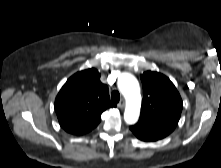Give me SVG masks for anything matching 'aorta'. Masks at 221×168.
I'll return each mask as SVG.
<instances>
[{
  "label": "aorta",
  "mask_w": 221,
  "mask_h": 168,
  "mask_svg": "<svg viewBox=\"0 0 221 168\" xmlns=\"http://www.w3.org/2000/svg\"><path fill=\"white\" fill-rule=\"evenodd\" d=\"M118 88L126 99L124 120L135 124L140 115L141 95L138 80L129 73H124L118 81Z\"/></svg>",
  "instance_id": "1"
}]
</instances>
